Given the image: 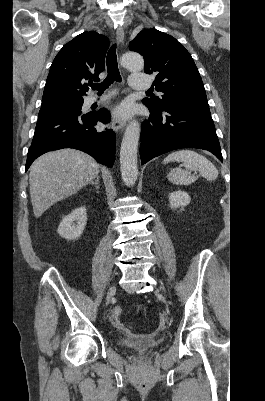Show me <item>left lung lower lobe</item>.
I'll return each mask as SVG.
<instances>
[{
    "label": "left lung lower lobe",
    "mask_w": 265,
    "mask_h": 401,
    "mask_svg": "<svg viewBox=\"0 0 265 401\" xmlns=\"http://www.w3.org/2000/svg\"><path fill=\"white\" fill-rule=\"evenodd\" d=\"M148 108L150 118L143 122L140 136L141 164L180 148L208 150L223 161L208 103L182 102L160 110Z\"/></svg>",
    "instance_id": "left-lung-lower-lobe-1"
}]
</instances>
